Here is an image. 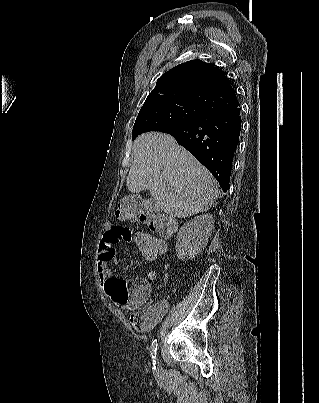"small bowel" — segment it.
Returning a JSON list of instances; mask_svg holds the SVG:
<instances>
[{
	"instance_id": "1",
	"label": "small bowel",
	"mask_w": 319,
	"mask_h": 403,
	"mask_svg": "<svg viewBox=\"0 0 319 403\" xmlns=\"http://www.w3.org/2000/svg\"><path fill=\"white\" fill-rule=\"evenodd\" d=\"M133 237L134 230L129 229L127 224H108L106 229H102L96 270L101 286L108 294V301L112 302V309H120V315L127 319L128 329H133L134 335H149L169 308V303L164 300L143 308L152 293V286L148 282L157 278V269H152L147 279H125L112 276L109 268V262L115 254H119L122 246H129L130 238ZM145 259L154 261L156 258Z\"/></svg>"
}]
</instances>
